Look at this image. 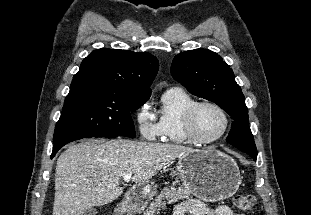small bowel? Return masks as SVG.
<instances>
[{
    "instance_id": "small-bowel-1",
    "label": "small bowel",
    "mask_w": 311,
    "mask_h": 215,
    "mask_svg": "<svg viewBox=\"0 0 311 215\" xmlns=\"http://www.w3.org/2000/svg\"><path fill=\"white\" fill-rule=\"evenodd\" d=\"M241 215L226 205L210 207L198 199H189L175 206L173 215Z\"/></svg>"
}]
</instances>
